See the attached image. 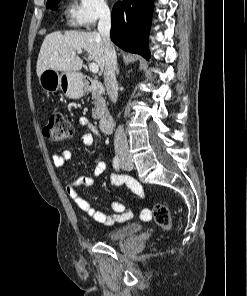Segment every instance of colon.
<instances>
[{"label": "colon", "mask_w": 247, "mask_h": 296, "mask_svg": "<svg viewBox=\"0 0 247 296\" xmlns=\"http://www.w3.org/2000/svg\"><path fill=\"white\" fill-rule=\"evenodd\" d=\"M45 136L55 142L68 140L72 137L73 128L71 123L60 111H52L49 120L44 128ZM154 218L155 223L164 231H169L172 227L171 216L168 207L163 203L154 205L152 212L144 214V219Z\"/></svg>", "instance_id": "5ec220e1"}]
</instances>
